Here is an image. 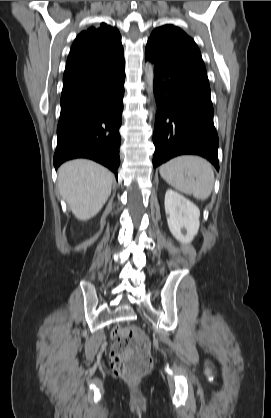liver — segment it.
<instances>
[{
    "label": "liver",
    "mask_w": 271,
    "mask_h": 418,
    "mask_svg": "<svg viewBox=\"0 0 271 418\" xmlns=\"http://www.w3.org/2000/svg\"><path fill=\"white\" fill-rule=\"evenodd\" d=\"M113 174L86 159L64 163L58 169V189L75 217L86 221L94 217L111 194Z\"/></svg>",
    "instance_id": "1"
}]
</instances>
